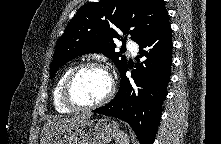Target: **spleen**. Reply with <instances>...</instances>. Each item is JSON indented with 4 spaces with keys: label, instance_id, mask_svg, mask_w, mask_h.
Segmentation results:
<instances>
[{
    "label": "spleen",
    "instance_id": "1",
    "mask_svg": "<svg viewBox=\"0 0 221 144\" xmlns=\"http://www.w3.org/2000/svg\"><path fill=\"white\" fill-rule=\"evenodd\" d=\"M117 142L119 144H129L128 135L124 131H121L117 136Z\"/></svg>",
    "mask_w": 221,
    "mask_h": 144
}]
</instances>
